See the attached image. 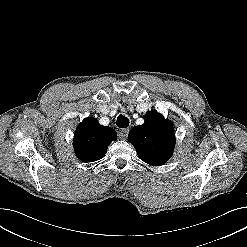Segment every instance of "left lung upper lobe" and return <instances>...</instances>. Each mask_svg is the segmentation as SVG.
<instances>
[{"label":"left lung upper lobe","mask_w":247,"mask_h":247,"mask_svg":"<svg viewBox=\"0 0 247 247\" xmlns=\"http://www.w3.org/2000/svg\"><path fill=\"white\" fill-rule=\"evenodd\" d=\"M145 122L129 132V141L138 156L152 166H161L173 154L175 134L172 124L157 111L147 112Z\"/></svg>","instance_id":"left-lung-upper-lobe-1"}]
</instances>
